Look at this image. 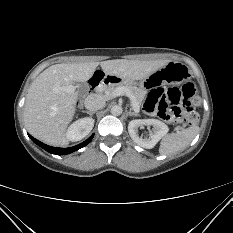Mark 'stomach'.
<instances>
[{
	"label": "stomach",
	"instance_id": "obj_1",
	"mask_svg": "<svg viewBox=\"0 0 233 233\" xmlns=\"http://www.w3.org/2000/svg\"><path fill=\"white\" fill-rule=\"evenodd\" d=\"M190 77V71L187 66L176 61H170L157 71H155L147 79H142L140 85L144 86L147 89L152 87L162 86L165 83L170 84H181L187 81ZM118 78V77H117ZM120 83L129 84L134 86L133 81H124L118 78ZM118 83V84H120Z\"/></svg>",
	"mask_w": 233,
	"mask_h": 233
}]
</instances>
